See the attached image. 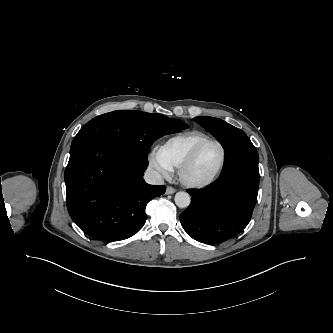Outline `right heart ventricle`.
Returning a JSON list of instances; mask_svg holds the SVG:
<instances>
[{
    "instance_id": "e07e8e85",
    "label": "right heart ventricle",
    "mask_w": 333,
    "mask_h": 333,
    "mask_svg": "<svg viewBox=\"0 0 333 333\" xmlns=\"http://www.w3.org/2000/svg\"><path fill=\"white\" fill-rule=\"evenodd\" d=\"M209 138L201 131L192 130L177 134L167 139L159 147L164 159L175 168H179L192 149L201 141Z\"/></svg>"
}]
</instances>
